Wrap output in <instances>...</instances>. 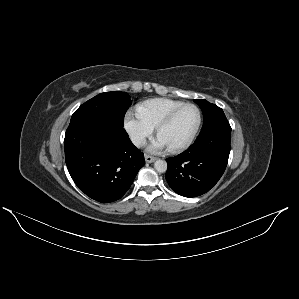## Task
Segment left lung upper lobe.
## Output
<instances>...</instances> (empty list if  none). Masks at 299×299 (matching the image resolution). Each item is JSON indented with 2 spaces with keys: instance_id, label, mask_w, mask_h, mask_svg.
Returning a JSON list of instances; mask_svg holds the SVG:
<instances>
[{
  "instance_id": "left-lung-upper-lobe-1",
  "label": "left lung upper lobe",
  "mask_w": 299,
  "mask_h": 299,
  "mask_svg": "<svg viewBox=\"0 0 299 299\" xmlns=\"http://www.w3.org/2000/svg\"><path fill=\"white\" fill-rule=\"evenodd\" d=\"M202 109L204 123L202 130L220 122H228L223 110L215 104H212L204 99L194 100Z\"/></svg>"
}]
</instances>
